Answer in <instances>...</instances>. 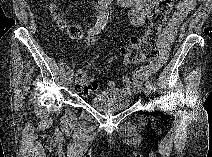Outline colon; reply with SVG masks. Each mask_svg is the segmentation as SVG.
Wrapping results in <instances>:
<instances>
[{"label":"colon","instance_id":"1","mask_svg":"<svg viewBox=\"0 0 212 157\" xmlns=\"http://www.w3.org/2000/svg\"><path fill=\"white\" fill-rule=\"evenodd\" d=\"M176 0H159L149 15V27L145 34L122 51L126 65H136L154 59L160 55L161 43L168 34L162 31L167 17L171 14ZM59 27L66 30L69 38L76 40L82 36L81 28L75 24L67 25L64 20L57 18ZM90 45L93 40L88 41ZM76 90L88 93L96 89L97 80L86 68L79 69L75 80Z\"/></svg>","mask_w":212,"mask_h":157}]
</instances>
